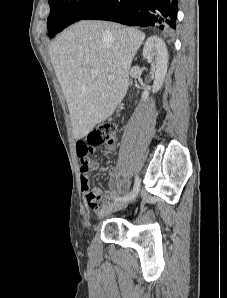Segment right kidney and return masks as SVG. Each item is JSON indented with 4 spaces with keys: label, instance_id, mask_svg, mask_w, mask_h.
<instances>
[{
    "label": "right kidney",
    "instance_id": "right-kidney-1",
    "mask_svg": "<svg viewBox=\"0 0 227 298\" xmlns=\"http://www.w3.org/2000/svg\"><path fill=\"white\" fill-rule=\"evenodd\" d=\"M143 57L156 68L152 89V92L156 93L161 89L167 73L168 51L165 42L157 36L149 37L143 48ZM148 96L149 92L144 91L142 100L146 101Z\"/></svg>",
    "mask_w": 227,
    "mask_h": 298
}]
</instances>
